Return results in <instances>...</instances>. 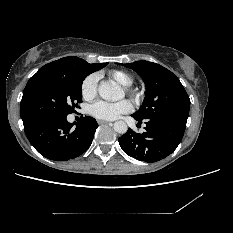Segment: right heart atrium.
Instances as JSON below:
<instances>
[{"label": "right heart atrium", "mask_w": 233, "mask_h": 233, "mask_svg": "<svg viewBox=\"0 0 233 233\" xmlns=\"http://www.w3.org/2000/svg\"><path fill=\"white\" fill-rule=\"evenodd\" d=\"M98 76L95 74L88 75L82 82L81 94L84 99L92 100L97 95Z\"/></svg>", "instance_id": "1"}]
</instances>
